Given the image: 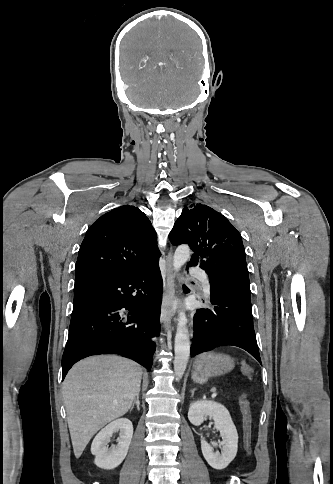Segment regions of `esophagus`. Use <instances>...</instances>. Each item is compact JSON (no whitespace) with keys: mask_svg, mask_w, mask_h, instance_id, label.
Here are the masks:
<instances>
[{"mask_svg":"<svg viewBox=\"0 0 333 484\" xmlns=\"http://www.w3.org/2000/svg\"><path fill=\"white\" fill-rule=\"evenodd\" d=\"M175 302V283L172 269V251L169 252L167 258L166 269V291L163 296L161 305V320L165 331L171 333L173 327L171 325L172 306Z\"/></svg>","mask_w":333,"mask_h":484,"instance_id":"obj_1","label":"esophagus"}]
</instances>
